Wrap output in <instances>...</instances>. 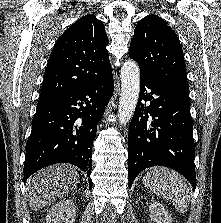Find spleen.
Returning <instances> with one entry per match:
<instances>
[{"mask_svg":"<svg viewBox=\"0 0 221 223\" xmlns=\"http://www.w3.org/2000/svg\"><path fill=\"white\" fill-rule=\"evenodd\" d=\"M144 185L151 192L172 201L180 213H185L190 203L189 188L185 179L173 170L153 168L144 177Z\"/></svg>","mask_w":221,"mask_h":223,"instance_id":"3e777b00","label":"spleen"}]
</instances>
